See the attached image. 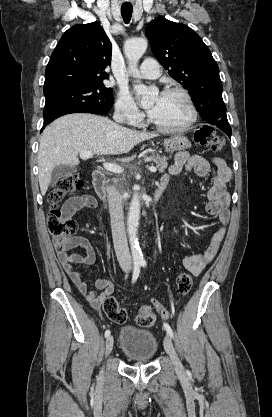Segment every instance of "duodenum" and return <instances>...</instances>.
Returning <instances> with one entry per match:
<instances>
[{
  "label": "duodenum",
  "mask_w": 272,
  "mask_h": 417,
  "mask_svg": "<svg viewBox=\"0 0 272 417\" xmlns=\"http://www.w3.org/2000/svg\"><path fill=\"white\" fill-rule=\"evenodd\" d=\"M92 183H93L94 191L96 192L97 196L100 199L105 200L106 198V188H105L106 174L103 168H97L93 171ZM166 185H167L166 182H160L158 184V186L156 187L153 193L154 201H157L161 197Z\"/></svg>",
  "instance_id": "410a0bca"
}]
</instances>
